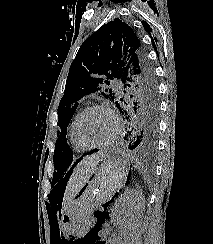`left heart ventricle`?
<instances>
[{
    "label": "left heart ventricle",
    "mask_w": 213,
    "mask_h": 244,
    "mask_svg": "<svg viewBox=\"0 0 213 244\" xmlns=\"http://www.w3.org/2000/svg\"><path fill=\"white\" fill-rule=\"evenodd\" d=\"M114 131L111 117L103 110L88 112L80 124V134L89 143H101L109 139Z\"/></svg>",
    "instance_id": "1"
}]
</instances>
